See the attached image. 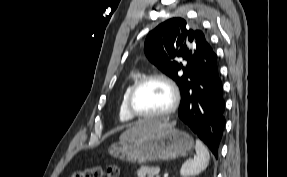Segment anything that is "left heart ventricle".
<instances>
[{
  "label": "left heart ventricle",
  "instance_id": "obj_1",
  "mask_svg": "<svg viewBox=\"0 0 287 177\" xmlns=\"http://www.w3.org/2000/svg\"><path fill=\"white\" fill-rule=\"evenodd\" d=\"M171 104L168 87L161 81L153 80L143 85L134 98L136 110L143 114L162 113Z\"/></svg>",
  "mask_w": 287,
  "mask_h": 177
}]
</instances>
